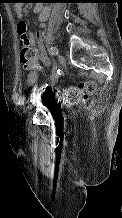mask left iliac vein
<instances>
[{
	"mask_svg": "<svg viewBox=\"0 0 122 218\" xmlns=\"http://www.w3.org/2000/svg\"><path fill=\"white\" fill-rule=\"evenodd\" d=\"M58 60H59V63H60L62 66L65 65L66 60H65V58H64L63 55L59 54V55H58ZM43 92H44V91H43ZM43 92L36 94L35 98L33 99V103L29 106V108H32V106L37 103V101L40 99V97H41V95H42Z\"/></svg>",
	"mask_w": 122,
	"mask_h": 218,
	"instance_id": "1",
	"label": "left iliac vein"
}]
</instances>
